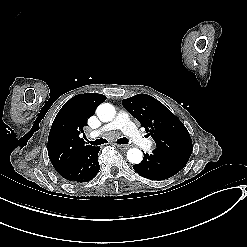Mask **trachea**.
<instances>
[{"label": "trachea", "mask_w": 247, "mask_h": 247, "mask_svg": "<svg viewBox=\"0 0 247 247\" xmlns=\"http://www.w3.org/2000/svg\"><path fill=\"white\" fill-rule=\"evenodd\" d=\"M129 140L126 137H122L119 138L115 143L117 144H128ZM88 143H90L91 145H101V144H105L108 143V141L104 138H100V139H96L95 141H89Z\"/></svg>", "instance_id": "obj_1"}]
</instances>
